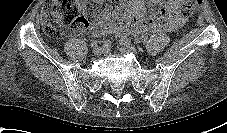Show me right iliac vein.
I'll return each instance as SVG.
<instances>
[{"label":"right iliac vein","instance_id":"63e3f726","mask_svg":"<svg viewBox=\"0 0 227 133\" xmlns=\"http://www.w3.org/2000/svg\"><path fill=\"white\" fill-rule=\"evenodd\" d=\"M92 51L94 55H100L104 51V47L96 46Z\"/></svg>","mask_w":227,"mask_h":133}]
</instances>
